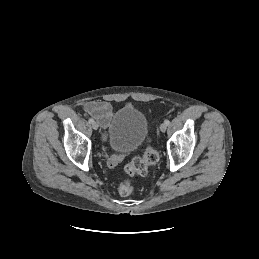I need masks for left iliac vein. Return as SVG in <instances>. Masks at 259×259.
<instances>
[{
	"label": "left iliac vein",
	"instance_id": "left-iliac-vein-1",
	"mask_svg": "<svg viewBox=\"0 0 259 259\" xmlns=\"http://www.w3.org/2000/svg\"><path fill=\"white\" fill-rule=\"evenodd\" d=\"M166 129H167V125H166L165 123H162V124L160 125V131H161V132H165Z\"/></svg>",
	"mask_w": 259,
	"mask_h": 259
}]
</instances>
